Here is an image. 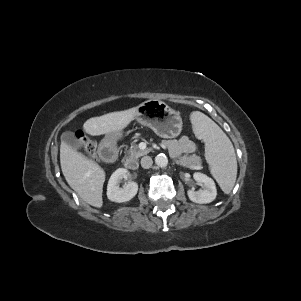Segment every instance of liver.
Masks as SVG:
<instances>
[{
  "label": "liver",
  "instance_id": "1",
  "mask_svg": "<svg viewBox=\"0 0 301 301\" xmlns=\"http://www.w3.org/2000/svg\"><path fill=\"white\" fill-rule=\"evenodd\" d=\"M137 108L111 112L88 119L83 127L93 136L118 134L133 121ZM60 164L63 175L70 187L88 204L101 208L102 192L105 182L104 170L94 161L72 149L62 141L60 145Z\"/></svg>",
  "mask_w": 301,
  "mask_h": 301
}]
</instances>
